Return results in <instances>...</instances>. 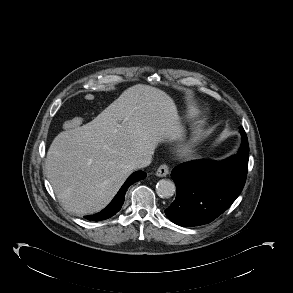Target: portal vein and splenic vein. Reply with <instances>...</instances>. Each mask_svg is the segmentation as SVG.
Masks as SVG:
<instances>
[{
    "mask_svg": "<svg viewBox=\"0 0 293 293\" xmlns=\"http://www.w3.org/2000/svg\"><path fill=\"white\" fill-rule=\"evenodd\" d=\"M118 127H119V128H121V127H122V125H119Z\"/></svg>",
    "mask_w": 293,
    "mask_h": 293,
    "instance_id": "obj_1",
    "label": "portal vein and splenic vein"
}]
</instances>
